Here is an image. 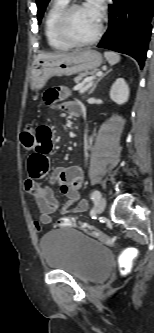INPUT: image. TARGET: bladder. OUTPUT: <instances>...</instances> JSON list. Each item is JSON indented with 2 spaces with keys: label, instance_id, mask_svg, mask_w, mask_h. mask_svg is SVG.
<instances>
[{
  "label": "bladder",
  "instance_id": "1",
  "mask_svg": "<svg viewBox=\"0 0 154 333\" xmlns=\"http://www.w3.org/2000/svg\"><path fill=\"white\" fill-rule=\"evenodd\" d=\"M39 246L48 268L79 279L106 276L113 261L107 246L72 227L47 232Z\"/></svg>",
  "mask_w": 154,
  "mask_h": 333
}]
</instances>
